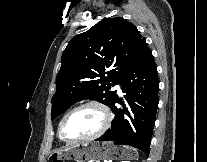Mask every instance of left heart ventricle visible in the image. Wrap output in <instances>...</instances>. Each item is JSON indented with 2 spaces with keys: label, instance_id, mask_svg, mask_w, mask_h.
Instances as JSON below:
<instances>
[{
  "label": "left heart ventricle",
  "instance_id": "left-heart-ventricle-1",
  "mask_svg": "<svg viewBox=\"0 0 207 162\" xmlns=\"http://www.w3.org/2000/svg\"><path fill=\"white\" fill-rule=\"evenodd\" d=\"M103 122L101 112L94 107L76 111L66 121L64 135L67 139H77L97 132Z\"/></svg>",
  "mask_w": 207,
  "mask_h": 162
}]
</instances>
